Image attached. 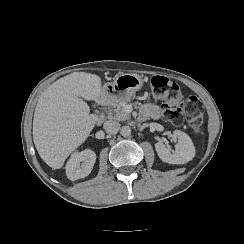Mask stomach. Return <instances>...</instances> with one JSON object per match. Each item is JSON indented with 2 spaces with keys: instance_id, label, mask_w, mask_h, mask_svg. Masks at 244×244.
Masks as SVG:
<instances>
[{
  "instance_id": "0dacf381",
  "label": "stomach",
  "mask_w": 244,
  "mask_h": 244,
  "mask_svg": "<svg viewBox=\"0 0 244 244\" xmlns=\"http://www.w3.org/2000/svg\"><path fill=\"white\" fill-rule=\"evenodd\" d=\"M145 85V78L135 73H118L112 82L103 86L101 99L104 101H130L135 92Z\"/></svg>"
}]
</instances>
